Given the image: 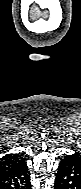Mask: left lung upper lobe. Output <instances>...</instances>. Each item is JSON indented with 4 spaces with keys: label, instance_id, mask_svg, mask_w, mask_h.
<instances>
[{
    "label": "left lung upper lobe",
    "instance_id": "left-lung-upper-lobe-1",
    "mask_svg": "<svg viewBox=\"0 0 81 189\" xmlns=\"http://www.w3.org/2000/svg\"><path fill=\"white\" fill-rule=\"evenodd\" d=\"M74 158H76L78 161L81 162V156L77 153H75L74 155H72Z\"/></svg>",
    "mask_w": 81,
    "mask_h": 189
}]
</instances>
